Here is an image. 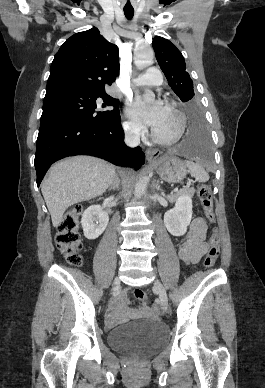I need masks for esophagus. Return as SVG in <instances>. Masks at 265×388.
<instances>
[{"mask_svg": "<svg viewBox=\"0 0 265 388\" xmlns=\"http://www.w3.org/2000/svg\"><path fill=\"white\" fill-rule=\"evenodd\" d=\"M145 153L148 162H153L157 157H159L161 151L158 148H147Z\"/></svg>", "mask_w": 265, "mask_h": 388, "instance_id": "obj_1", "label": "esophagus"}]
</instances>
